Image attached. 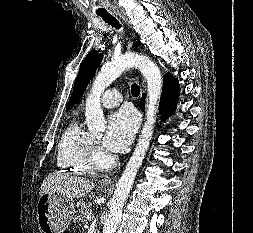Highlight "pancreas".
<instances>
[{
    "label": "pancreas",
    "instance_id": "obj_1",
    "mask_svg": "<svg viewBox=\"0 0 253 233\" xmlns=\"http://www.w3.org/2000/svg\"><path fill=\"white\" fill-rule=\"evenodd\" d=\"M91 205L87 203H81L79 209L76 211L74 221H86L87 214L91 213Z\"/></svg>",
    "mask_w": 253,
    "mask_h": 233
}]
</instances>
